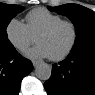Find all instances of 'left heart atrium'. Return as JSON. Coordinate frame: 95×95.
Masks as SVG:
<instances>
[{
    "label": "left heart atrium",
    "mask_w": 95,
    "mask_h": 95,
    "mask_svg": "<svg viewBox=\"0 0 95 95\" xmlns=\"http://www.w3.org/2000/svg\"><path fill=\"white\" fill-rule=\"evenodd\" d=\"M26 55L29 58H33V59L50 57L49 51L42 44H37L33 48L27 50Z\"/></svg>",
    "instance_id": "obj_1"
}]
</instances>
